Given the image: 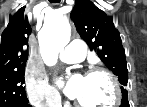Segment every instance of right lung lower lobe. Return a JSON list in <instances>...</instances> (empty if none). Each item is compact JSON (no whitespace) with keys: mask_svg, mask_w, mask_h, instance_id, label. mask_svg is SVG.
<instances>
[{"mask_svg":"<svg viewBox=\"0 0 147 107\" xmlns=\"http://www.w3.org/2000/svg\"><path fill=\"white\" fill-rule=\"evenodd\" d=\"M18 107H31V105H29V104H23V105H20Z\"/></svg>","mask_w":147,"mask_h":107,"instance_id":"obj_1","label":"right lung lower lobe"}]
</instances>
